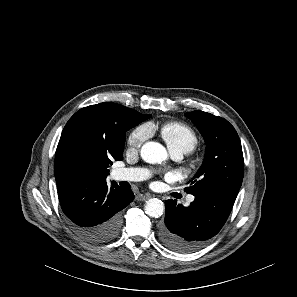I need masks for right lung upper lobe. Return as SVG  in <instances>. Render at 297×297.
<instances>
[{
  "instance_id": "obj_1",
  "label": "right lung upper lobe",
  "mask_w": 297,
  "mask_h": 297,
  "mask_svg": "<svg viewBox=\"0 0 297 297\" xmlns=\"http://www.w3.org/2000/svg\"><path fill=\"white\" fill-rule=\"evenodd\" d=\"M132 111L104 102L82 108L69 119L55 153L57 187L83 175L106 179L109 165L123 159L126 119Z\"/></svg>"
}]
</instances>
